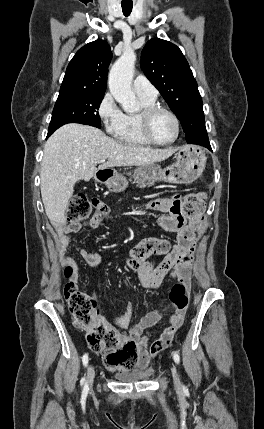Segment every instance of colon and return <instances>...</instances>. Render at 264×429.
Segmentation results:
<instances>
[{
	"mask_svg": "<svg viewBox=\"0 0 264 429\" xmlns=\"http://www.w3.org/2000/svg\"><path fill=\"white\" fill-rule=\"evenodd\" d=\"M206 195L203 192L188 194L181 204V211L187 217L189 228L197 232L203 222ZM96 208L93 217L101 220L106 210L97 202L90 201L85 195L77 194L69 202L67 217L71 222L88 218ZM73 274L68 266L66 277ZM71 321L75 327L86 333L89 348L104 354L105 365L110 370L129 371L137 359L136 343L128 334L118 331L111 323L99 315L95 300L78 289L76 283L69 280L64 288ZM169 299L176 312L184 313L188 305V295L183 282H176L170 291Z\"/></svg>",
	"mask_w": 264,
	"mask_h": 429,
	"instance_id": "colon-1",
	"label": "colon"
}]
</instances>
